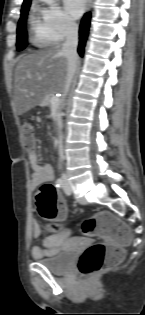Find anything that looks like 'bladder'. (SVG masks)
<instances>
[{
	"label": "bladder",
	"instance_id": "obj_1",
	"mask_svg": "<svg viewBox=\"0 0 145 315\" xmlns=\"http://www.w3.org/2000/svg\"><path fill=\"white\" fill-rule=\"evenodd\" d=\"M67 249H79V248H66L64 250L59 251L57 254L52 256L51 258L41 259L40 263L51 273L54 274H63L67 272L74 262L75 256H67Z\"/></svg>",
	"mask_w": 145,
	"mask_h": 315
}]
</instances>
